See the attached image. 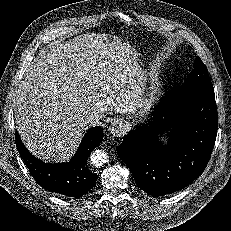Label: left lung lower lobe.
<instances>
[{"label": "left lung lower lobe", "instance_id": "obj_1", "mask_svg": "<svg viewBox=\"0 0 231 231\" xmlns=\"http://www.w3.org/2000/svg\"><path fill=\"white\" fill-rule=\"evenodd\" d=\"M153 116L116 149L137 186L161 196L187 187L210 160L218 128L214 89L181 87L161 99ZM170 128L168 145H161L159 137Z\"/></svg>", "mask_w": 231, "mask_h": 231}]
</instances>
